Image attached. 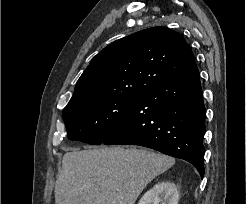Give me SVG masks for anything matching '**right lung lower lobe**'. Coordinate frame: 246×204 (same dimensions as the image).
<instances>
[{"label": "right lung lower lobe", "mask_w": 246, "mask_h": 204, "mask_svg": "<svg viewBox=\"0 0 246 204\" xmlns=\"http://www.w3.org/2000/svg\"><path fill=\"white\" fill-rule=\"evenodd\" d=\"M205 106L196 63L140 94L124 123L103 144L158 150L204 175Z\"/></svg>", "instance_id": "obj_1"}]
</instances>
